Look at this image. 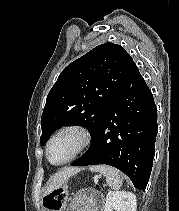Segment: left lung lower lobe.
Segmentation results:
<instances>
[{
	"mask_svg": "<svg viewBox=\"0 0 179 211\" xmlns=\"http://www.w3.org/2000/svg\"><path fill=\"white\" fill-rule=\"evenodd\" d=\"M157 129L153 95L133 62L108 105L90 148L72 166L110 165L125 173L137 189L145 190Z\"/></svg>",
	"mask_w": 179,
	"mask_h": 211,
	"instance_id": "0a47b994",
	"label": "left lung lower lobe"
}]
</instances>
